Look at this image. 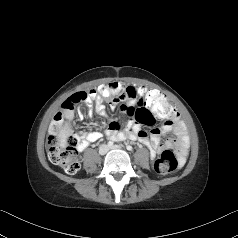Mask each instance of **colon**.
Returning <instances> with one entry per match:
<instances>
[{
	"label": "colon",
	"mask_w": 238,
	"mask_h": 238,
	"mask_svg": "<svg viewBox=\"0 0 238 238\" xmlns=\"http://www.w3.org/2000/svg\"><path fill=\"white\" fill-rule=\"evenodd\" d=\"M94 91L100 94L101 103H119L118 94H122V86H119L118 81L114 80L113 84L108 86H94ZM135 92L140 97H145L149 103V109L153 112L157 119L164 120L171 117L175 110L166 101V96L163 92L157 91L151 87H146L140 84L136 87ZM87 93L84 91L76 92L67 98L63 106L65 108H73L79 102H82ZM144 123V122H143ZM63 127L55 125L53 132L48 137V157L49 160L63 169L66 173L74 174L80 169V160L77 151V138L71 129L65 126V136L60 135ZM178 159L172 148H167L163 151L160 158L155 162V169L160 174H168L173 172L178 167Z\"/></svg>",
	"instance_id": "obj_1"
}]
</instances>
